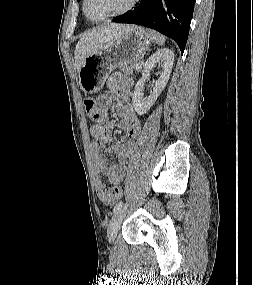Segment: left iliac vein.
<instances>
[{
    "label": "left iliac vein",
    "instance_id": "4c4485c4",
    "mask_svg": "<svg viewBox=\"0 0 253 285\" xmlns=\"http://www.w3.org/2000/svg\"><path fill=\"white\" fill-rule=\"evenodd\" d=\"M126 210L127 208L123 207L118 210L112 217L107 232L109 242H113L115 240L117 233L121 227L122 220L126 215Z\"/></svg>",
    "mask_w": 253,
    "mask_h": 285
}]
</instances>
